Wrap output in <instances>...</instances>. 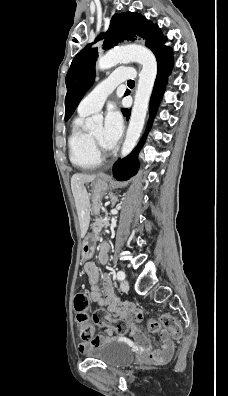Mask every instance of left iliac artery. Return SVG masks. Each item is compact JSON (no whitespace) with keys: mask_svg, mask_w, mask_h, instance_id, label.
<instances>
[{"mask_svg":"<svg viewBox=\"0 0 228 396\" xmlns=\"http://www.w3.org/2000/svg\"><path fill=\"white\" fill-rule=\"evenodd\" d=\"M117 279H118L119 281L124 280V279H125V273H124L123 271H118V272H117Z\"/></svg>","mask_w":228,"mask_h":396,"instance_id":"1","label":"left iliac artery"}]
</instances>
